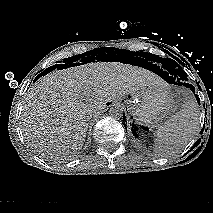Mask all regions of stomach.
<instances>
[{
    "mask_svg": "<svg viewBox=\"0 0 213 213\" xmlns=\"http://www.w3.org/2000/svg\"><path fill=\"white\" fill-rule=\"evenodd\" d=\"M127 103L135 121L150 128L165 119L177 107L173 93L162 84L148 85L128 94Z\"/></svg>",
    "mask_w": 213,
    "mask_h": 213,
    "instance_id": "obj_1",
    "label": "stomach"
}]
</instances>
